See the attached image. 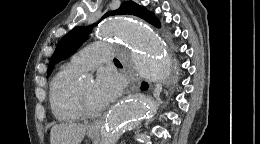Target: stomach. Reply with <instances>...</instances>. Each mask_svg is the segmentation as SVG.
I'll list each match as a JSON object with an SVG mask.
<instances>
[{
  "mask_svg": "<svg viewBox=\"0 0 260 144\" xmlns=\"http://www.w3.org/2000/svg\"><path fill=\"white\" fill-rule=\"evenodd\" d=\"M87 134H88V136H89L90 138L93 139V138L97 137L98 132H97V131H93V130L90 129Z\"/></svg>",
  "mask_w": 260,
  "mask_h": 144,
  "instance_id": "0dacf381",
  "label": "stomach"
}]
</instances>
